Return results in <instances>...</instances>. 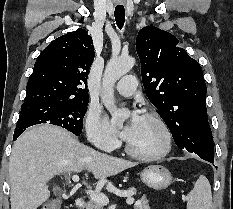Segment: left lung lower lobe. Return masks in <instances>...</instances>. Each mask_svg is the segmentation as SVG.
<instances>
[{"mask_svg": "<svg viewBox=\"0 0 233 209\" xmlns=\"http://www.w3.org/2000/svg\"><path fill=\"white\" fill-rule=\"evenodd\" d=\"M202 159H204V160H206V161H209V162H211V163H213V161H214L213 158H208V157H204V158H202Z\"/></svg>", "mask_w": 233, "mask_h": 209, "instance_id": "1", "label": "left lung lower lobe"}]
</instances>
